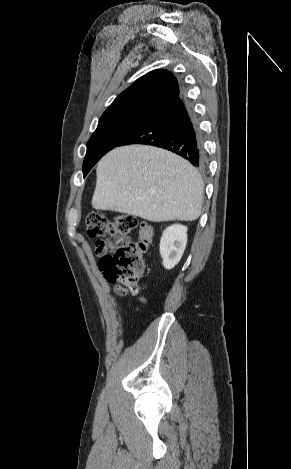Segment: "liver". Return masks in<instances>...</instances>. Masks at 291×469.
Instances as JSON below:
<instances>
[{"instance_id": "6515ba94", "label": "liver", "mask_w": 291, "mask_h": 469, "mask_svg": "<svg viewBox=\"0 0 291 469\" xmlns=\"http://www.w3.org/2000/svg\"><path fill=\"white\" fill-rule=\"evenodd\" d=\"M92 206L152 222L194 221L201 214L204 183L185 159L145 145L111 150L98 163Z\"/></svg>"}]
</instances>
